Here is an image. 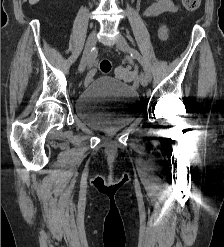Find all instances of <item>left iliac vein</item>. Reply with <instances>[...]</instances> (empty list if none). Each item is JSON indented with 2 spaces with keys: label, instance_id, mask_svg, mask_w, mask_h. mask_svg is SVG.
Segmentation results:
<instances>
[{
  "label": "left iliac vein",
  "instance_id": "left-iliac-vein-1",
  "mask_svg": "<svg viewBox=\"0 0 224 247\" xmlns=\"http://www.w3.org/2000/svg\"><path fill=\"white\" fill-rule=\"evenodd\" d=\"M116 47L123 52H129L130 51V47L128 45V42L122 35L117 36ZM139 81H140L141 85L144 87L147 86L148 82H149L144 73L140 74Z\"/></svg>",
  "mask_w": 224,
  "mask_h": 247
}]
</instances>
